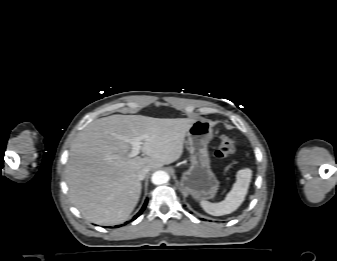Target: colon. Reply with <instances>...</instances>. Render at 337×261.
I'll list each match as a JSON object with an SVG mask.
<instances>
[{
    "label": "colon",
    "mask_w": 337,
    "mask_h": 261,
    "mask_svg": "<svg viewBox=\"0 0 337 261\" xmlns=\"http://www.w3.org/2000/svg\"><path fill=\"white\" fill-rule=\"evenodd\" d=\"M235 153V141L230 136L223 134L220 138V144L215 152L219 159H228Z\"/></svg>",
    "instance_id": "1"
}]
</instances>
